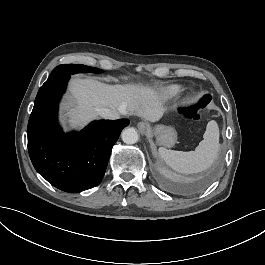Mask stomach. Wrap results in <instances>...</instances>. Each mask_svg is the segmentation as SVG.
Returning a JSON list of instances; mask_svg holds the SVG:
<instances>
[{
  "label": "stomach",
  "instance_id": "1",
  "mask_svg": "<svg viewBox=\"0 0 265 265\" xmlns=\"http://www.w3.org/2000/svg\"><path fill=\"white\" fill-rule=\"evenodd\" d=\"M157 134V142L166 147H172L176 142V133L171 128H166L163 126H157L155 128Z\"/></svg>",
  "mask_w": 265,
  "mask_h": 265
}]
</instances>
